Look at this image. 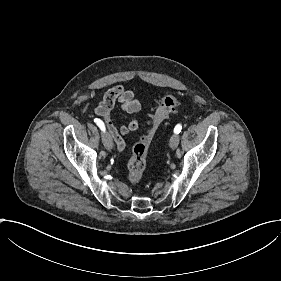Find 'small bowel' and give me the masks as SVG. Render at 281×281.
I'll list each match as a JSON object with an SVG mask.
<instances>
[{
	"label": "small bowel",
	"mask_w": 281,
	"mask_h": 281,
	"mask_svg": "<svg viewBox=\"0 0 281 281\" xmlns=\"http://www.w3.org/2000/svg\"><path fill=\"white\" fill-rule=\"evenodd\" d=\"M115 105H119L123 111L133 115L139 112L140 103L131 89L124 85H117L107 90L104 99L95 108L96 114L104 121L110 137L119 148H124L123 136L136 130L140 125V120L137 117H132L127 125H122L117 130L110 117V112Z\"/></svg>",
	"instance_id": "c3829d8e"
}]
</instances>
